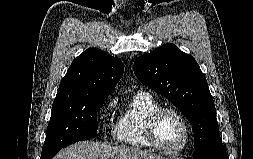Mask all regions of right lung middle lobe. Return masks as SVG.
Masks as SVG:
<instances>
[{"label":"right lung middle lobe","instance_id":"dd1d6c3e","mask_svg":"<svg viewBox=\"0 0 253 159\" xmlns=\"http://www.w3.org/2000/svg\"><path fill=\"white\" fill-rule=\"evenodd\" d=\"M107 95H78L54 99L41 159H51L62 148L97 134V111Z\"/></svg>","mask_w":253,"mask_h":159}]
</instances>
